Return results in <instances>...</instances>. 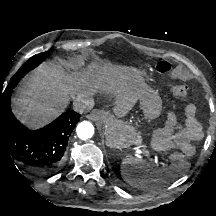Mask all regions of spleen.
<instances>
[{
	"label": "spleen",
	"mask_w": 216,
	"mask_h": 216,
	"mask_svg": "<svg viewBox=\"0 0 216 216\" xmlns=\"http://www.w3.org/2000/svg\"><path fill=\"white\" fill-rule=\"evenodd\" d=\"M175 164L170 166L154 167L150 162L132 157L125 156L120 164L122 178L131 186L148 190L160 183H169L176 176Z\"/></svg>",
	"instance_id": "1"
}]
</instances>
